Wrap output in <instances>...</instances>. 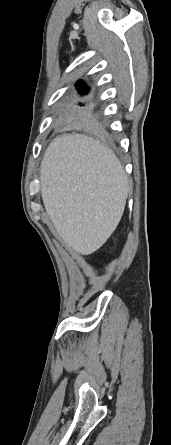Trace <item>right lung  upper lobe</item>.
Wrapping results in <instances>:
<instances>
[{"instance_id":"1","label":"right lung upper lobe","mask_w":171,"mask_h":445,"mask_svg":"<svg viewBox=\"0 0 171 445\" xmlns=\"http://www.w3.org/2000/svg\"><path fill=\"white\" fill-rule=\"evenodd\" d=\"M77 85H78L77 89L79 90V93H81V94L87 93L88 87L83 82H79Z\"/></svg>"}]
</instances>
